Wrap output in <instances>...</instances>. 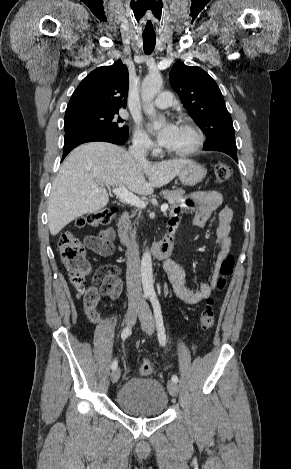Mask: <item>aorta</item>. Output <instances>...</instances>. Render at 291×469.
<instances>
[{
    "mask_svg": "<svg viewBox=\"0 0 291 469\" xmlns=\"http://www.w3.org/2000/svg\"><path fill=\"white\" fill-rule=\"evenodd\" d=\"M162 85L163 80L160 74L148 75L142 82L141 97L144 103V112L149 116L156 114L152 101L160 92ZM141 277L144 293L153 294L152 258L149 252H145L141 259Z\"/></svg>",
    "mask_w": 291,
    "mask_h": 469,
    "instance_id": "aorta-1",
    "label": "aorta"
}]
</instances>
